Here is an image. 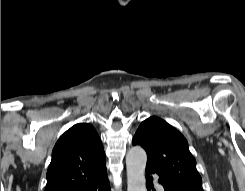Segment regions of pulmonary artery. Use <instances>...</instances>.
<instances>
[{
    "instance_id": "obj_1",
    "label": "pulmonary artery",
    "mask_w": 245,
    "mask_h": 191,
    "mask_svg": "<svg viewBox=\"0 0 245 191\" xmlns=\"http://www.w3.org/2000/svg\"><path fill=\"white\" fill-rule=\"evenodd\" d=\"M157 190L158 191H164V188H163V186L161 184H158L157 185Z\"/></svg>"
}]
</instances>
